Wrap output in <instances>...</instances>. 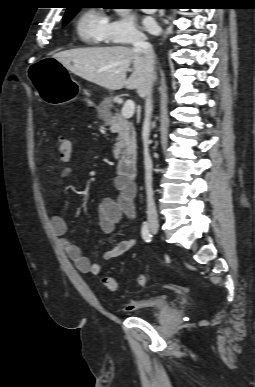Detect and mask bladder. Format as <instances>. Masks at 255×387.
I'll use <instances>...</instances> for the list:
<instances>
[{
  "label": "bladder",
  "instance_id": "31cf9c89",
  "mask_svg": "<svg viewBox=\"0 0 255 387\" xmlns=\"http://www.w3.org/2000/svg\"><path fill=\"white\" fill-rule=\"evenodd\" d=\"M169 308V302L165 295H150L138 301L132 312L137 316H147Z\"/></svg>",
  "mask_w": 255,
  "mask_h": 387
}]
</instances>
